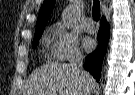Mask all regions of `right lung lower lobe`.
<instances>
[{
    "instance_id": "98d812e1",
    "label": "right lung lower lobe",
    "mask_w": 135,
    "mask_h": 95,
    "mask_svg": "<svg viewBox=\"0 0 135 95\" xmlns=\"http://www.w3.org/2000/svg\"><path fill=\"white\" fill-rule=\"evenodd\" d=\"M109 30L110 26L103 17L98 32V47L94 52L89 54L85 60V70L89 71L97 81H99L101 76V65L109 39Z\"/></svg>"
}]
</instances>
